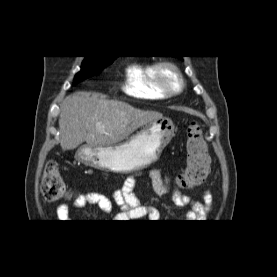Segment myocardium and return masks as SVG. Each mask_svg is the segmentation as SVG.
<instances>
[{"instance_id":"1","label":"myocardium","mask_w":277,"mask_h":277,"mask_svg":"<svg viewBox=\"0 0 277 277\" xmlns=\"http://www.w3.org/2000/svg\"><path fill=\"white\" fill-rule=\"evenodd\" d=\"M168 69L174 73L178 80V86L172 89L168 86L165 77L164 70ZM154 74L158 88L167 97L175 96L181 93L185 87V80L181 73L180 68L171 61H161L154 65Z\"/></svg>"}]
</instances>
